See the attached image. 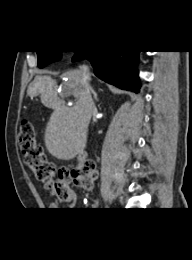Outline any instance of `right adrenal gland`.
Here are the masks:
<instances>
[{
    "label": "right adrenal gland",
    "instance_id": "1",
    "mask_svg": "<svg viewBox=\"0 0 192 260\" xmlns=\"http://www.w3.org/2000/svg\"><path fill=\"white\" fill-rule=\"evenodd\" d=\"M90 89H91V92H92V94H93V96H94L95 101H98L97 93L94 91L93 88H90Z\"/></svg>",
    "mask_w": 192,
    "mask_h": 260
}]
</instances>
